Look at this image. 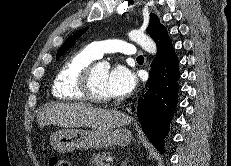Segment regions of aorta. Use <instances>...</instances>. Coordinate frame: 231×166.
Listing matches in <instances>:
<instances>
[{
  "instance_id": "aorta-1",
  "label": "aorta",
  "mask_w": 231,
  "mask_h": 166,
  "mask_svg": "<svg viewBox=\"0 0 231 166\" xmlns=\"http://www.w3.org/2000/svg\"><path fill=\"white\" fill-rule=\"evenodd\" d=\"M128 36L132 41L139 44L143 50L152 55H156L157 47L155 42L149 36L144 34V32L140 30H132L128 33ZM98 67L108 70L110 68V64L107 61H102L98 63Z\"/></svg>"
}]
</instances>
